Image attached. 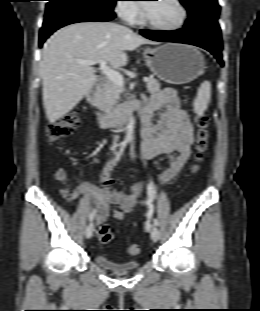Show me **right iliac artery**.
I'll return each instance as SVG.
<instances>
[{
	"label": "right iliac artery",
	"mask_w": 260,
	"mask_h": 311,
	"mask_svg": "<svg viewBox=\"0 0 260 311\" xmlns=\"http://www.w3.org/2000/svg\"><path fill=\"white\" fill-rule=\"evenodd\" d=\"M126 144H127L126 141H123V142L121 143V145H120V150L117 152L116 157H115V159H114V161H113V166L116 165V163H117V161H118V159H119V156L121 155V153L123 152L124 148L126 147ZM95 213H96V210H93L92 213L90 214V217H89V220H90V221H92V220L94 219Z\"/></svg>",
	"instance_id": "82829eb1"
}]
</instances>
